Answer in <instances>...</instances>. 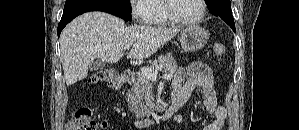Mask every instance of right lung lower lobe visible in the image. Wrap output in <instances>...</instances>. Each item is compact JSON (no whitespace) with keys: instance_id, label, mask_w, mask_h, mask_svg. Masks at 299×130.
I'll return each instance as SVG.
<instances>
[{"instance_id":"obj_1","label":"right lung lower lobe","mask_w":299,"mask_h":130,"mask_svg":"<svg viewBox=\"0 0 299 130\" xmlns=\"http://www.w3.org/2000/svg\"><path fill=\"white\" fill-rule=\"evenodd\" d=\"M89 11H102L118 16L124 20L131 19V11L118 5L101 0H70L65 3L63 15L58 25V37L62 29L78 15Z\"/></svg>"}]
</instances>
